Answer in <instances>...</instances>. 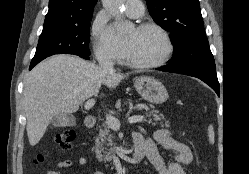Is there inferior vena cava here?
Instances as JSON below:
<instances>
[{"mask_svg": "<svg viewBox=\"0 0 249 174\" xmlns=\"http://www.w3.org/2000/svg\"><path fill=\"white\" fill-rule=\"evenodd\" d=\"M99 65L103 69L104 72H113L114 71L113 63L111 61L100 58Z\"/></svg>", "mask_w": 249, "mask_h": 174, "instance_id": "1", "label": "inferior vena cava"}]
</instances>
